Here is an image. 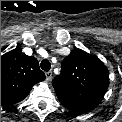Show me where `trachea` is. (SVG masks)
Instances as JSON below:
<instances>
[{
  "label": "trachea",
  "instance_id": "obj_1",
  "mask_svg": "<svg viewBox=\"0 0 122 122\" xmlns=\"http://www.w3.org/2000/svg\"><path fill=\"white\" fill-rule=\"evenodd\" d=\"M40 66H41L42 70H44L46 72L49 71L51 68V64L47 59L42 60Z\"/></svg>",
  "mask_w": 122,
  "mask_h": 122
}]
</instances>
